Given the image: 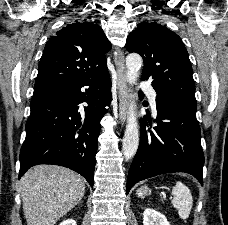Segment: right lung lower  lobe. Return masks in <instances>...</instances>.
Segmentation results:
<instances>
[{"instance_id":"98d812e1","label":"right lung lower lobe","mask_w":228,"mask_h":225,"mask_svg":"<svg viewBox=\"0 0 228 225\" xmlns=\"http://www.w3.org/2000/svg\"><path fill=\"white\" fill-rule=\"evenodd\" d=\"M89 86L86 93L81 88ZM108 70L89 81L33 95L20 150L19 178L32 166L70 168L93 186L100 120L111 100ZM87 95V96H86ZM87 102L85 113L78 104Z\"/></svg>"}]
</instances>
